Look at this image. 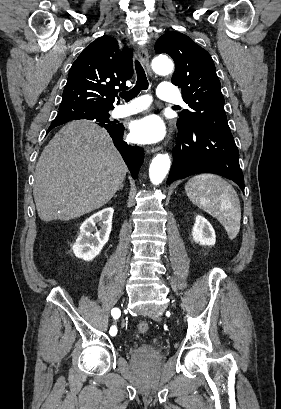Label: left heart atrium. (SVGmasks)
Here are the masks:
<instances>
[{
  "label": "left heart atrium",
  "instance_id": "1",
  "mask_svg": "<svg viewBox=\"0 0 281 409\" xmlns=\"http://www.w3.org/2000/svg\"><path fill=\"white\" fill-rule=\"evenodd\" d=\"M166 127L156 114L138 117L131 125V139L138 144H155L164 139Z\"/></svg>",
  "mask_w": 281,
  "mask_h": 409
}]
</instances>
